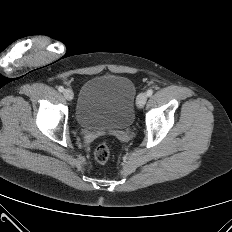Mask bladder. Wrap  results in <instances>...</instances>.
Listing matches in <instances>:
<instances>
[{
	"label": "bladder",
	"instance_id": "obj_1",
	"mask_svg": "<svg viewBox=\"0 0 232 232\" xmlns=\"http://www.w3.org/2000/svg\"><path fill=\"white\" fill-rule=\"evenodd\" d=\"M136 90L121 75H101L87 80L79 93L76 120L85 129L128 128L135 116Z\"/></svg>",
	"mask_w": 232,
	"mask_h": 232
}]
</instances>
